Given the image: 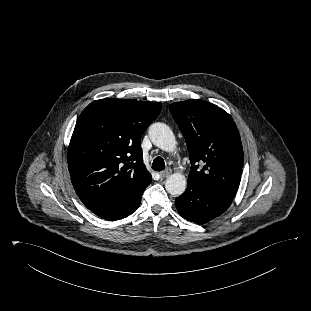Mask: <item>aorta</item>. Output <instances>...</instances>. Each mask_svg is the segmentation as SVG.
I'll return each mask as SVG.
<instances>
[{"label": "aorta", "instance_id": "aorta-1", "mask_svg": "<svg viewBox=\"0 0 311 311\" xmlns=\"http://www.w3.org/2000/svg\"><path fill=\"white\" fill-rule=\"evenodd\" d=\"M149 137L152 143L165 151H172L176 148V139L170 127L164 123H154L149 127ZM187 182L184 175L174 173L165 181L167 192L174 196H180L186 190Z\"/></svg>", "mask_w": 311, "mask_h": 311}]
</instances>
